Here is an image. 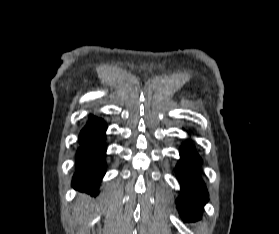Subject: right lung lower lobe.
Masks as SVG:
<instances>
[{
	"mask_svg": "<svg viewBox=\"0 0 279 234\" xmlns=\"http://www.w3.org/2000/svg\"><path fill=\"white\" fill-rule=\"evenodd\" d=\"M105 131V122L101 118L91 116L80 133V147L76 153V171L72 184L75 188L94 196L106 168Z\"/></svg>",
	"mask_w": 279,
	"mask_h": 234,
	"instance_id": "right-lung-lower-lobe-1",
	"label": "right lung lower lobe"
}]
</instances>
